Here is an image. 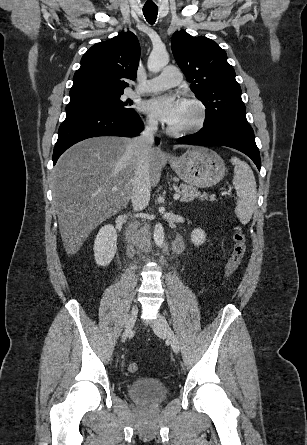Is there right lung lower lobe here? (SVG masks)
Listing matches in <instances>:
<instances>
[{
	"label": "right lung lower lobe",
	"instance_id": "right-lung-lower-lobe-1",
	"mask_svg": "<svg viewBox=\"0 0 307 445\" xmlns=\"http://www.w3.org/2000/svg\"><path fill=\"white\" fill-rule=\"evenodd\" d=\"M138 114L120 111L82 110L67 113L60 125L53 152V165L60 155L73 144L96 136H136L143 130ZM159 143V140L156 139Z\"/></svg>",
	"mask_w": 307,
	"mask_h": 445
}]
</instances>
